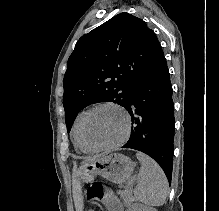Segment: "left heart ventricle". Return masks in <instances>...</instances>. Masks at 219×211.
Returning a JSON list of instances; mask_svg holds the SVG:
<instances>
[{
    "instance_id": "1",
    "label": "left heart ventricle",
    "mask_w": 219,
    "mask_h": 211,
    "mask_svg": "<svg viewBox=\"0 0 219 211\" xmlns=\"http://www.w3.org/2000/svg\"><path fill=\"white\" fill-rule=\"evenodd\" d=\"M125 118L112 107H100L92 111L85 122V136L93 145L116 142L125 129Z\"/></svg>"
}]
</instances>
